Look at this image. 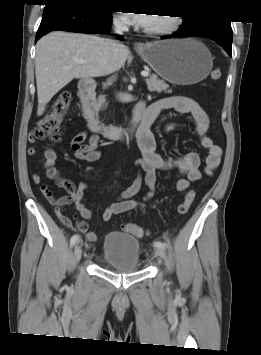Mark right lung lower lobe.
<instances>
[{"instance_id": "obj_1", "label": "right lung lower lobe", "mask_w": 261, "mask_h": 355, "mask_svg": "<svg viewBox=\"0 0 261 355\" xmlns=\"http://www.w3.org/2000/svg\"><path fill=\"white\" fill-rule=\"evenodd\" d=\"M35 42L54 30L95 34L109 30L112 11L79 0H63L45 4Z\"/></svg>"}]
</instances>
